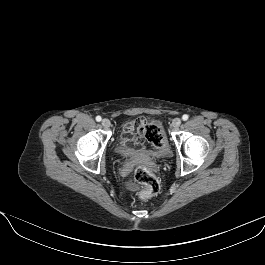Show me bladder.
I'll return each mask as SVG.
<instances>
[{"label":"bladder","instance_id":"obj_1","mask_svg":"<svg viewBox=\"0 0 265 265\" xmlns=\"http://www.w3.org/2000/svg\"><path fill=\"white\" fill-rule=\"evenodd\" d=\"M117 151L121 154L128 153L127 146L123 144L122 140L118 143Z\"/></svg>","mask_w":265,"mask_h":265}]
</instances>
